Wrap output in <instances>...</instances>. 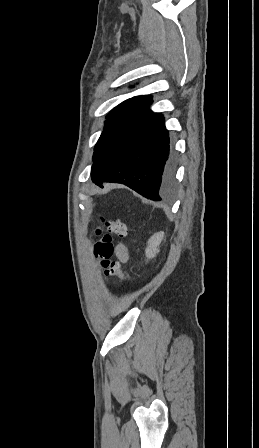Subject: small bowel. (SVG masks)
Wrapping results in <instances>:
<instances>
[{
    "label": "small bowel",
    "mask_w": 259,
    "mask_h": 448,
    "mask_svg": "<svg viewBox=\"0 0 259 448\" xmlns=\"http://www.w3.org/2000/svg\"><path fill=\"white\" fill-rule=\"evenodd\" d=\"M116 257L121 263H126L128 261L129 253L127 247L124 244L119 243L116 246Z\"/></svg>",
    "instance_id": "obj_1"
}]
</instances>
